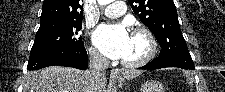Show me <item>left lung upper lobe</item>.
<instances>
[{
  "label": "left lung upper lobe",
  "instance_id": "obj_1",
  "mask_svg": "<svg viewBox=\"0 0 225 92\" xmlns=\"http://www.w3.org/2000/svg\"><path fill=\"white\" fill-rule=\"evenodd\" d=\"M133 11L155 35L162 50L159 57L190 56L180 30L173 0H128Z\"/></svg>",
  "mask_w": 225,
  "mask_h": 92
}]
</instances>
